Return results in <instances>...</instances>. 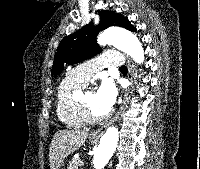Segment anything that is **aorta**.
<instances>
[{
  "label": "aorta",
  "mask_w": 200,
  "mask_h": 169,
  "mask_svg": "<svg viewBox=\"0 0 200 169\" xmlns=\"http://www.w3.org/2000/svg\"><path fill=\"white\" fill-rule=\"evenodd\" d=\"M101 46L112 45L131 56L133 60L141 64L144 61V52L138 38L126 31L107 29L98 37ZM119 139L118 128L109 127L103 134L100 144L94 153L93 166L95 169H103L113 156Z\"/></svg>",
  "instance_id": "1"
}]
</instances>
